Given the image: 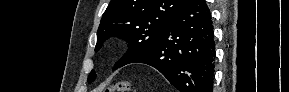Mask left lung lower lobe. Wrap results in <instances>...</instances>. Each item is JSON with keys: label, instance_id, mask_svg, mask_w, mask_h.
<instances>
[{"label": "left lung lower lobe", "instance_id": "1", "mask_svg": "<svg viewBox=\"0 0 289 92\" xmlns=\"http://www.w3.org/2000/svg\"><path fill=\"white\" fill-rule=\"evenodd\" d=\"M215 44L205 0H188L154 47L131 63L159 70L180 92H212Z\"/></svg>", "mask_w": 289, "mask_h": 92}]
</instances>
